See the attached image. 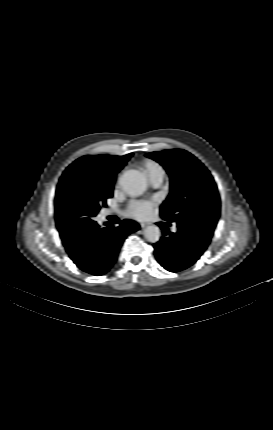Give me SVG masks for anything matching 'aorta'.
<instances>
[{
	"instance_id": "1",
	"label": "aorta",
	"mask_w": 273,
	"mask_h": 430,
	"mask_svg": "<svg viewBox=\"0 0 273 430\" xmlns=\"http://www.w3.org/2000/svg\"><path fill=\"white\" fill-rule=\"evenodd\" d=\"M121 186L130 196H140L147 189V180L145 176L137 170L126 171L121 176ZM144 236L151 243L158 242L161 236L160 228L156 225L146 227Z\"/></svg>"
}]
</instances>
